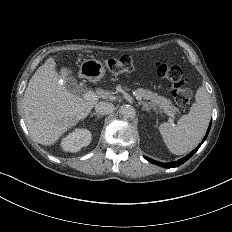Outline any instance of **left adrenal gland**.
Wrapping results in <instances>:
<instances>
[{"label": "left adrenal gland", "mask_w": 232, "mask_h": 232, "mask_svg": "<svg viewBox=\"0 0 232 232\" xmlns=\"http://www.w3.org/2000/svg\"><path fill=\"white\" fill-rule=\"evenodd\" d=\"M142 103V102H141ZM143 104V103H142ZM143 110H146L147 112H150L149 110H147L145 107L143 108ZM153 124V123H152Z\"/></svg>", "instance_id": "obj_1"}]
</instances>
